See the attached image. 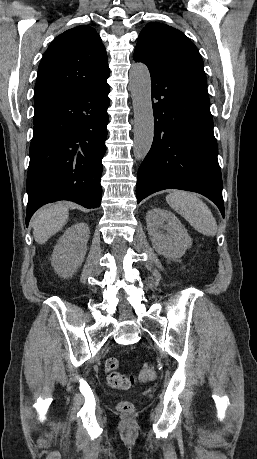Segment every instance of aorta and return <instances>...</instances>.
Here are the masks:
<instances>
[{"label": "aorta", "instance_id": "obj_1", "mask_svg": "<svg viewBox=\"0 0 257 459\" xmlns=\"http://www.w3.org/2000/svg\"><path fill=\"white\" fill-rule=\"evenodd\" d=\"M129 86L134 110V146L137 160L149 152L154 137V114L151 101V78L147 66L134 63L129 72Z\"/></svg>", "mask_w": 257, "mask_h": 459}]
</instances>
